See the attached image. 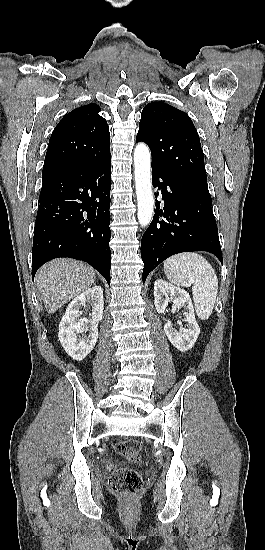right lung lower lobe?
Here are the masks:
<instances>
[{"label":"right lung lower lobe","instance_id":"98d812e1","mask_svg":"<svg viewBox=\"0 0 265 550\" xmlns=\"http://www.w3.org/2000/svg\"><path fill=\"white\" fill-rule=\"evenodd\" d=\"M111 160L43 180L33 239L32 279L58 257L85 261L110 285Z\"/></svg>","mask_w":265,"mask_h":550}]
</instances>
